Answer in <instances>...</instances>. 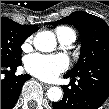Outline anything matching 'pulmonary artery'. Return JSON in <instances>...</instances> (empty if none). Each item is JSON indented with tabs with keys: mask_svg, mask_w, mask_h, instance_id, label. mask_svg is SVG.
<instances>
[{
	"mask_svg": "<svg viewBox=\"0 0 109 109\" xmlns=\"http://www.w3.org/2000/svg\"><path fill=\"white\" fill-rule=\"evenodd\" d=\"M59 42L65 46L71 45L75 41V36L66 34L58 38Z\"/></svg>",
	"mask_w": 109,
	"mask_h": 109,
	"instance_id": "obj_1",
	"label": "pulmonary artery"
}]
</instances>
